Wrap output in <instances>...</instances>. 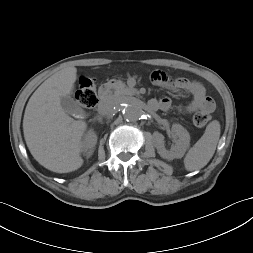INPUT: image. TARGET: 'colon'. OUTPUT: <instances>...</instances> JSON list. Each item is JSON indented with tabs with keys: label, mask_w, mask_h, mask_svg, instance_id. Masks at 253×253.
Segmentation results:
<instances>
[{
	"label": "colon",
	"mask_w": 253,
	"mask_h": 253,
	"mask_svg": "<svg viewBox=\"0 0 253 253\" xmlns=\"http://www.w3.org/2000/svg\"><path fill=\"white\" fill-rule=\"evenodd\" d=\"M76 98L82 109H90L96 106L98 99L96 85L92 78H81ZM209 120L210 115L207 112H198L193 116V124L198 128L204 127Z\"/></svg>",
	"instance_id": "obj_1"
}]
</instances>
